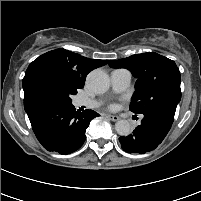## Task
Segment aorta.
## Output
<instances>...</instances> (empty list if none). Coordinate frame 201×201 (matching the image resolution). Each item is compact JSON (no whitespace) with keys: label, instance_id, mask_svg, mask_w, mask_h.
<instances>
[{"label":"aorta","instance_id":"obj_1","mask_svg":"<svg viewBox=\"0 0 201 201\" xmlns=\"http://www.w3.org/2000/svg\"><path fill=\"white\" fill-rule=\"evenodd\" d=\"M87 86L95 93H104L109 88V77L100 69L91 71L86 79ZM116 132L121 136H128L131 131V125L127 120H119L115 124Z\"/></svg>","mask_w":201,"mask_h":201}]
</instances>
